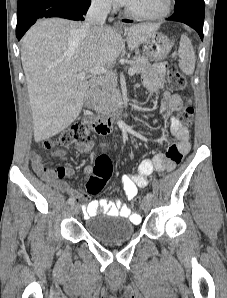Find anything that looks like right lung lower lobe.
Masks as SVG:
<instances>
[{
	"instance_id": "98d812e1",
	"label": "right lung lower lobe",
	"mask_w": 227,
	"mask_h": 298,
	"mask_svg": "<svg viewBox=\"0 0 227 298\" xmlns=\"http://www.w3.org/2000/svg\"><path fill=\"white\" fill-rule=\"evenodd\" d=\"M90 0H30L17 8L16 37L20 39L37 19L61 17L84 20Z\"/></svg>"
}]
</instances>
